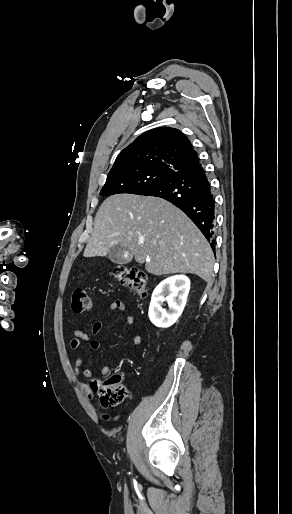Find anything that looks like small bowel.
<instances>
[{
	"label": "small bowel",
	"instance_id": "1",
	"mask_svg": "<svg viewBox=\"0 0 292 514\" xmlns=\"http://www.w3.org/2000/svg\"><path fill=\"white\" fill-rule=\"evenodd\" d=\"M108 309L111 311L123 312L125 310V305L120 299H113L108 304ZM125 322L128 326L134 325V317L128 315L125 319ZM103 324L101 321H96L93 323L91 328V333L84 332L79 328H75L73 330V338L70 340L69 346L72 350H76L81 347L83 341H89L90 347L93 350H97L100 348V341L95 337L102 330ZM142 340L139 335H133L131 337V343L135 346H139ZM102 373L105 374L107 372L108 366L106 364H102L100 366ZM72 373L74 378L76 379L78 385L85 390L88 394L90 393V386L87 382L80 379V377H84L86 379H91L94 377V373L91 369L85 367L84 358L79 356L75 359ZM131 400H134V397H131Z\"/></svg>",
	"mask_w": 292,
	"mask_h": 514
}]
</instances>
